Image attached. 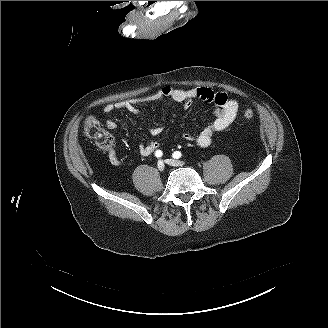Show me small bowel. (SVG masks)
I'll return each mask as SVG.
<instances>
[{
	"instance_id": "1",
	"label": "small bowel",
	"mask_w": 328,
	"mask_h": 328,
	"mask_svg": "<svg viewBox=\"0 0 328 328\" xmlns=\"http://www.w3.org/2000/svg\"><path fill=\"white\" fill-rule=\"evenodd\" d=\"M170 99L177 103L184 104L185 108H189L193 100H203L215 105L213 115L214 119L197 135L185 132L182 137L186 141H195L200 147L206 148L212 143L214 133L227 129L235 120L239 104L235 99L228 98L223 91H215L205 87H195L191 89H179L172 86H164L159 91L146 97L130 98L118 102L107 104L104 107L105 113H111L115 110H127L129 112L141 113L140 106L151 102ZM108 129H115L117 123L114 120H107L105 123ZM149 132L153 136L163 133V128L159 126H149ZM160 144L157 141L142 143L139 145V154L147 157L159 149ZM109 162L113 166L122 165L123 161L119 158L115 149L111 146L107 149Z\"/></svg>"
}]
</instances>
